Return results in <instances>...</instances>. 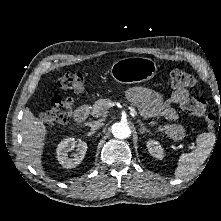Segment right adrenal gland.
I'll return each mask as SVG.
<instances>
[{"mask_svg":"<svg viewBox=\"0 0 221 221\" xmlns=\"http://www.w3.org/2000/svg\"><path fill=\"white\" fill-rule=\"evenodd\" d=\"M94 134V132H89L88 133V136H91V135H93Z\"/></svg>","mask_w":221,"mask_h":221,"instance_id":"obj_1","label":"right adrenal gland"}]
</instances>
